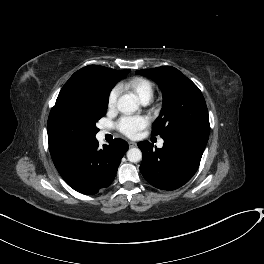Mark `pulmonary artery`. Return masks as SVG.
Returning <instances> with one entry per match:
<instances>
[{
	"instance_id": "e3ab8cb5",
	"label": "pulmonary artery",
	"mask_w": 264,
	"mask_h": 264,
	"mask_svg": "<svg viewBox=\"0 0 264 264\" xmlns=\"http://www.w3.org/2000/svg\"><path fill=\"white\" fill-rule=\"evenodd\" d=\"M149 102H150L149 99H145V100L142 101V103L145 104V105L148 104ZM163 142H164V141L161 139V140L158 142V145H159V146H162V145H163Z\"/></svg>"
}]
</instances>
